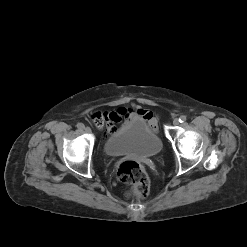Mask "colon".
I'll return each instance as SVG.
<instances>
[{
    "mask_svg": "<svg viewBox=\"0 0 247 247\" xmlns=\"http://www.w3.org/2000/svg\"><path fill=\"white\" fill-rule=\"evenodd\" d=\"M95 125L104 126L106 119L101 114L93 117ZM117 176L120 181L132 185V193L140 197H146L150 191V181L144 167L134 160L122 161L117 168Z\"/></svg>",
    "mask_w": 247,
    "mask_h": 247,
    "instance_id": "5ec220e1",
    "label": "colon"
}]
</instances>
